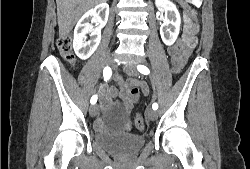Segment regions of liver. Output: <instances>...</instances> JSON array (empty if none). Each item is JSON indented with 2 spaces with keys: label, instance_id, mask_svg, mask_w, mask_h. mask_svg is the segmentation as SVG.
Returning a JSON list of instances; mask_svg holds the SVG:
<instances>
[{
  "label": "liver",
  "instance_id": "6515ba94",
  "mask_svg": "<svg viewBox=\"0 0 250 169\" xmlns=\"http://www.w3.org/2000/svg\"><path fill=\"white\" fill-rule=\"evenodd\" d=\"M98 2L103 0H56L59 36L69 34L81 14Z\"/></svg>",
  "mask_w": 250,
  "mask_h": 169
}]
</instances>
